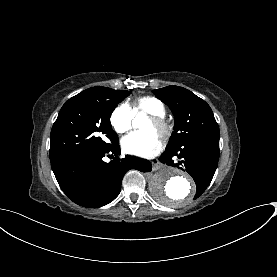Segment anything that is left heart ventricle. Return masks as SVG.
I'll use <instances>...</instances> for the list:
<instances>
[{"mask_svg": "<svg viewBox=\"0 0 277 277\" xmlns=\"http://www.w3.org/2000/svg\"><path fill=\"white\" fill-rule=\"evenodd\" d=\"M143 130L157 133V128H156L155 124L153 123V121L150 118L148 119V121L144 125Z\"/></svg>", "mask_w": 277, "mask_h": 277, "instance_id": "obj_1", "label": "left heart ventricle"}]
</instances>
